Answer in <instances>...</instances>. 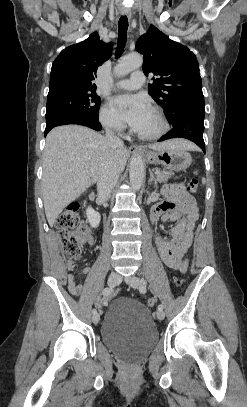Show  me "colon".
Masks as SVG:
<instances>
[{"label":"colon","mask_w":247,"mask_h":407,"mask_svg":"<svg viewBox=\"0 0 247 407\" xmlns=\"http://www.w3.org/2000/svg\"><path fill=\"white\" fill-rule=\"evenodd\" d=\"M198 186V179L193 177L187 183V190L190 193H196ZM56 229L66 255L72 259L80 258L81 245L88 237L89 228L81 219L80 206L77 202H72L63 209L56 221ZM173 282L176 287H180L183 284V277L178 274ZM147 304L154 306L156 299L149 298Z\"/></svg>","instance_id":"colon-1"}]
</instances>
